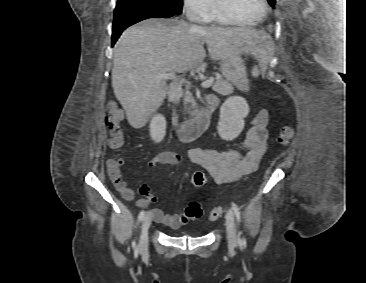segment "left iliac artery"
Instances as JSON below:
<instances>
[{
    "mask_svg": "<svg viewBox=\"0 0 366 283\" xmlns=\"http://www.w3.org/2000/svg\"><path fill=\"white\" fill-rule=\"evenodd\" d=\"M232 210H233V212H234V214L236 216L237 221L240 222L241 221L240 211H239V209H238V207H237V205L235 203H232ZM241 234L242 233L240 232L238 236H241ZM239 240H240L239 242L241 244L244 243V238L243 237L241 239H239Z\"/></svg>",
    "mask_w": 366,
    "mask_h": 283,
    "instance_id": "1",
    "label": "left iliac artery"
}]
</instances>
